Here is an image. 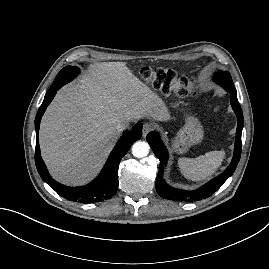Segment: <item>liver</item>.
<instances>
[{
	"label": "liver",
	"mask_w": 269,
	"mask_h": 269,
	"mask_svg": "<svg viewBox=\"0 0 269 269\" xmlns=\"http://www.w3.org/2000/svg\"><path fill=\"white\" fill-rule=\"evenodd\" d=\"M143 117L167 119V111L125 62L92 64L78 84L61 89L40 125L42 157L52 176L67 185L90 181L118 138L117 125Z\"/></svg>",
	"instance_id": "obj_1"
}]
</instances>
